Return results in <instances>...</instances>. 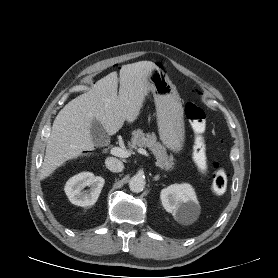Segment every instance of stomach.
<instances>
[{
    "mask_svg": "<svg viewBox=\"0 0 278 278\" xmlns=\"http://www.w3.org/2000/svg\"><path fill=\"white\" fill-rule=\"evenodd\" d=\"M146 81L156 105L160 139L168 149L180 153L185 142V127L182 104L176 87L158 66L147 71Z\"/></svg>",
    "mask_w": 278,
    "mask_h": 278,
    "instance_id": "0dacf381",
    "label": "stomach"
}]
</instances>
